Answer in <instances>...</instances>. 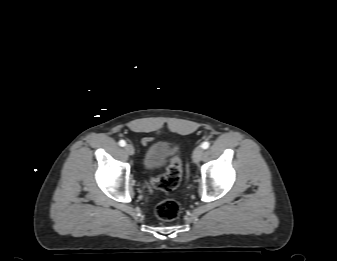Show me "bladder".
<instances>
[{"instance_id": "31cf9c89", "label": "bladder", "mask_w": 337, "mask_h": 261, "mask_svg": "<svg viewBox=\"0 0 337 261\" xmlns=\"http://www.w3.org/2000/svg\"><path fill=\"white\" fill-rule=\"evenodd\" d=\"M176 153L177 147L173 143L166 140L156 141L145 151L142 158V168L146 172L158 169Z\"/></svg>"}]
</instances>
